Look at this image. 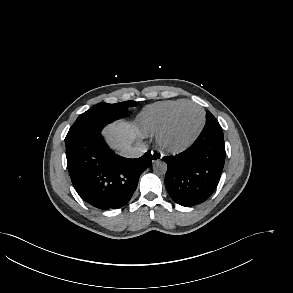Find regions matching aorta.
<instances>
[{
	"label": "aorta",
	"instance_id": "762f6f07",
	"mask_svg": "<svg viewBox=\"0 0 293 293\" xmlns=\"http://www.w3.org/2000/svg\"><path fill=\"white\" fill-rule=\"evenodd\" d=\"M153 169L157 174H165L167 171V164L164 161L157 160L154 163Z\"/></svg>",
	"mask_w": 293,
	"mask_h": 293
}]
</instances>
